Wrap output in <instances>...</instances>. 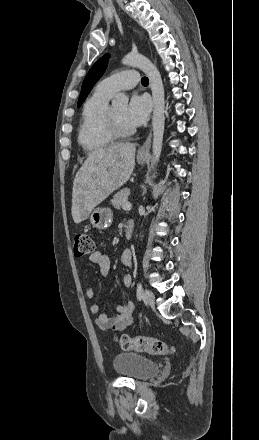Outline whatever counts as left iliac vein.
<instances>
[{
  "label": "left iliac vein",
  "mask_w": 259,
  "mask_h": 440,
  "mask_svg": "<svg viewBox=\"0 0 259 440\" xmlns=\"http://www.w3.org/2000/svg\"><path fill=\"white\" fill-rule=\"evenodd\" d=\"M144 297H145L146 303L150 307H153L154 303H155V296H154L153 292H151L150 290H145Z\"/></svg>",
  "instance_id": "1"
}]
</instances>
